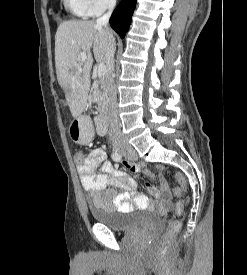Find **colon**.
<instances>
[{
  "instance_id": "obj_1",
  "label": "colon",
  "mask_w": 247,
  "mask_h": 275,
  "mask_svg": "<svg viewBox=\"0 0 247 275\" xmlns=\"http://www.w3.org/2000/svg\"><path fill=\"white\" fill-rule=\"evenodd\" d=\"M75 160L78 163H81L83 160V155L81 152H77L75 155ZM127 167L129 169L133 168L134 165L127 163ZM175 179L177 180V182L179 183V187H175L173 189V194L174 196L177 198V203H176V213L178 215H181L184 211V206H185V201L182 199V194L183 192L186 191L187 188V182L185 180V178L177 173L175 174ZM181 229V222L177 219L171 220L166 228V231L164 232V234L162 235L161 238V247L163 249H168L170 247V245L173 243L174 238L176 237V235L179 233Z\"/></svg>"
}]
</instances>
